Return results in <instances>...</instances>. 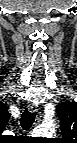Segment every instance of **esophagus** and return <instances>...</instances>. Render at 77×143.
Instances as JSON below:
<instances>
[{
	"label": "esophagus",
	"instance_id": "esophagus-1",
	"mask_svg": "<svg viewBox=\"0 0 77 143\" xmlns=\"http://www.w3.org/2000/svg\"><path fill=\"white\" fill-rule=\"evenodd\" d=\"M28 109H29L31 112H37L39 108H38L37 105H29V106H28Z\"/></svg>",
	"mask_w": 77,
	"mask_h": 143
}]
</instances>
